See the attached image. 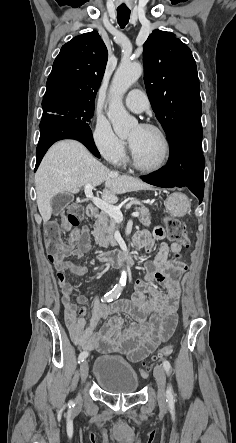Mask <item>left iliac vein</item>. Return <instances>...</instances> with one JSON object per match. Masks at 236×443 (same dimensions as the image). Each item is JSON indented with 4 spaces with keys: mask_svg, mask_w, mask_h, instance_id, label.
Instances as JSON below:
<instances>
[{
    "mask_svg": "<svg viewBox=\"0 0 236 443\" xmlns=\"http://www.w3.org/2000/svg\"><path fill=\"white\" fill-rule=\"evenodd\" d=\"M154 376L158 387V393H157L158 404L161 411L165 412L167 410V400L165 394L166 374L164 368L161 365L155 366Z\"/></svg>",
    "mask_w": 236,
    "mask_h": 443,
    "instance_id": "obj_1",
    "label": "left iliac vein"
}]
</instances>
